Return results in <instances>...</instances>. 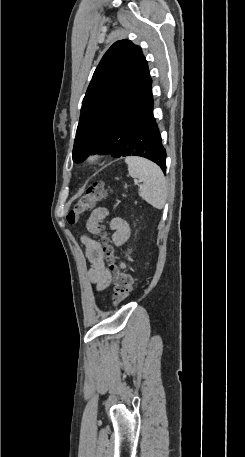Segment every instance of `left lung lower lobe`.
I'll list each match as a JSON object with an SVG mask.
<instances>
[{
	"instance_id": "1",
	"label": "left lung lower lobe",
	"mask_w": 245,
	"mask_h": 457,
	"mask_svg": "<svg viewBox=\"0 0 245 457\" xmlns=\"http://www.w3.org/2000/svg\"><path fill=\"white\" fill-rule=\"evenodd\" d=\"M152 111L151 93L141 108L117 115L109 125L84 140L75 162H82L95 152L111 153L113 157L141 156L155 162L165 173L166 151Z\"/></svg>"
}]
</instances>
